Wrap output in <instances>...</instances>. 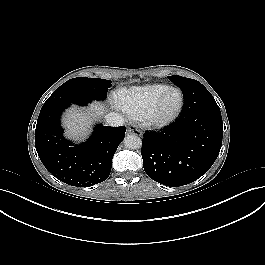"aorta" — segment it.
I'll return each mask as SVG.
<instances>
[{
    "label": "aorta",
    "mask_w": 265,
    "mask_h": 265,
    "mask_svg": "<svg viewBox=\"0 0 265 265\" xmlns=\"http://www.w3.org/2000/svg\"><path fill=\"white\" fill-rule=\"evenodd\" d=\"M124 145L129 149H139L142 147V139L137 135H127L124 138Z\"/></svg>",
    "instance_id": "obj_1"
}]
</instances>
